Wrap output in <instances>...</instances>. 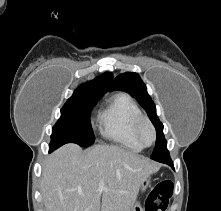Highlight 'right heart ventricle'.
Instances as JSON below:
<instances>
[{
	"mask_svg": "<svg viewBox=\"0 0 221 211\" xmlns=\"http://www.w3.org/2000/svg\"><path fill=\"white\" fill-rule=\"evenodd\" d=\"M141 116V109L129 94L117 93L99 113L101 133L106 139L139 152L144 147L137 140L134 129Z\"/></svg>",
	"mask_w": 221,
	"mask_h": 211,
	"instance_id": "right-heart-ventricle-1",
	"label": "right heart ventricle"
}]
</instances>
